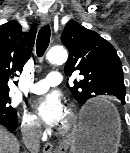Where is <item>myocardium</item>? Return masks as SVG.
<instances>
[{"label":"myocardium","mask_w":130,"mask_h":153,"mask_svg":"<svg viewBox=\"0 0 130 153\" xmlns=\"http://www.w3.org/2000/svg\"><path fill=\"white\" fill-rule=\"evenodd\" d=\"M77 121V115L73 109L68 108L66 111L65 119L59 127V132L65 134L75 125Z\"/></svg>","instance_id":"1"}]
</instances>
